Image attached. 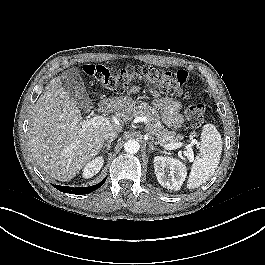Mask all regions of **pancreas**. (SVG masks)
<instances>
[{
	"label": "pancreas",
	"instance_id": "obj_1",
	"mask_svg": "<svg viewBox=\"0 0 265 265\" xmlns=\"http://www.w3.org/2000/svg\"><path fill=\"white\" fill-rule=\"evenodd\" d=\"M121 117L125 121L132 120L136 117H145L147 119L145 129L159 145L177 143L184 138L182 135L176 134L175 131L166 129L160 121L158 112L146 102L131 103L121 113Z\"/></svg>",
	"mask_w": 265,
	"mask_h": 265
}]
</instances>
